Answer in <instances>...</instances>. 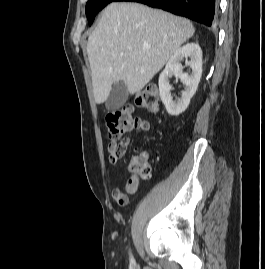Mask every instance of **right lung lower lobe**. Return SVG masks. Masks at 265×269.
I'll return each instance as SVG.
<instances>
[{"mask_svg":"<svg viewBox=\"0 0 265 269\" xmlns=\"http://www.w3.org/2000/svg\"><path fill=\"white\" fill-rule=\"evenodd\" d=\"M117 1L143 3L190 18L207 26L212 25L217 12V0H115V2Z\"/></svg>","mask_w":265,"mask_h":269,"instance_id":"1","label":"right lung lower lobe"}]
</instances>
